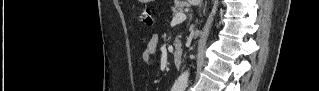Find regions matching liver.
Returning <instances> with one entry per match:
<instances>
[{"mask_svg":"<svg viewBox=\"0 0 319 91\" xmlns=\"http://www.w3.org/2000/svg\"><path fill=\"white\" fill-rule=\"evenodd\" d=\"M188 2L192 5H198L200 4L201 0H188Z\"/></svg>","mask_w":319,"mask_h":91,"instance_id":"6515ba94","label":"liver"}]
</instances>
